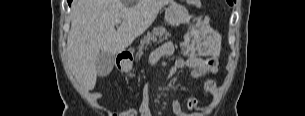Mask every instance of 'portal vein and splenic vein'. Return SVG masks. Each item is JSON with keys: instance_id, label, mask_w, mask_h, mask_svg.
<instances>
[{"instance_id": "obj_1", "label": "portal vein and splenic vein", "mask_w": 305, "mask_h": 116, "mask_svg": "<svg viewBox=\"0 0 305 116\" xmlns=\"http://www.w3.org/2000/svg\"><path fill=\"white\" fill-rule=\"evenodd\" d=\"M119 24H121V21H120V20L115 21V25L118 26Z\"/></svg>"}]
</instances>
